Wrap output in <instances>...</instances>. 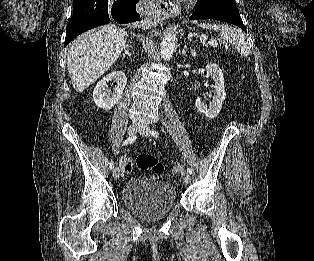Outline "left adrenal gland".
Wrapping results in <instances>:
<instances>
[{"label":"left adrenal gland","mask_w":314,"mask_h":261,"mask_svg":"<svg viewBox=\"0 0 314 261\" xmlns=\"http://www.w3.org/2000/svg\"><path fill=\"white\" fill-rule=\"evenodd\" d=\"M187 51H188V47H187V45L185 44V45H184V48H183V50H182V55L185 56V54H186Z\"/></svg>","instance_id":"left-adrenal-gland-1"}]
</instances>
